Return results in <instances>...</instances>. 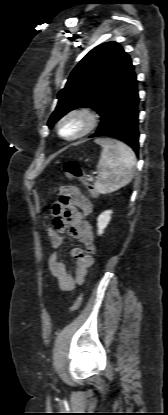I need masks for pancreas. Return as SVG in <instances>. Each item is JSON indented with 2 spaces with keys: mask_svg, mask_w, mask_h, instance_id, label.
Wrapping results in <instances>:
<instances>
[{
  "mask_svg": "<svg viewBox=\"0 0 168 415\" xmlns=\"http://www.w3.org/2000/svg\"><path fill=\"white\" fill-rule=\"evenodd\" d=\"M90 192L93 197H97V192L95 191V189H91Z\"/></svg>",
  "mask_w": 168,
  "mask_h": 415,
  "instance_id": "cf45deb5",
  "label": "pancreas"
}]
</instances>
